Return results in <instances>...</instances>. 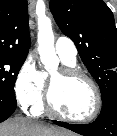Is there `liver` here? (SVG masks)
<instances>
[{
	"instance_id": "obj_1",
	"label": "liver",
	"mask_w": 117,
	"mask_h": 136,
	"mask_svg": "<svg viewBox=\"0 0 117 136\" xmlns=\"http://www.w3.org/2000/svg\"><path fill=\"white\" fill-rule=\"evenodd\" d=\"M0 136H73L66 130L49 128L22 118L0 124Z\"/></svg>"
}]
</instances>
